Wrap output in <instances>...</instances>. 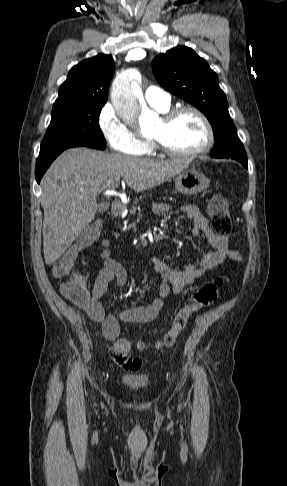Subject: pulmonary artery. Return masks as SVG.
<instances>
[{"label":"pulmonary artery","mask_w":287,"mask_h":486,"mask_svg":"<svg viewBox=\"0 0 287 486\" xmlns=\"http://www.w3.org/2000/svg\"><path fill=\"white\" fill-rule=\"evenodd\" d=\"M144 95L147 103L156 109L162 110L170 106V95L157 86H149Z\"/></svg>","instance_id":"e3ab8cb5"}]
</instances>
